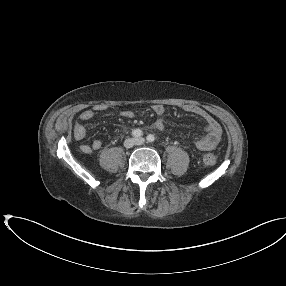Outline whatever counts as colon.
Listing matches in <instances>:
<instances>
[{
  "label": "colon",
  "instance_id": "5ec220e1",
  "mask_svg": "<svg viewBox=\"0 0 286 286\" xmlns=\"http://www.w3.org/2000/svg\"><path fill=\"white\" fill-rule=\"evenodd\" d=\"M203 163L206 165V166H212L216 163V158L213 154H205L203 156Z\"/></svg>",
  "mask_w": 286,
  "mask_h": 286
}]
</instances>
